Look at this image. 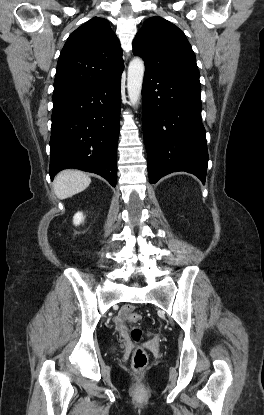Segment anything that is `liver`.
<instances>
[{"label": "liver", "instance_id": "liver-1", "mask_svg": "<svg viewBox=\"0 0 264 415\" xmlns=\"http://www.w3.org/2000/svg\"><path fill=\"white\" fill-rule=\"evenodd\" d=\"M90 183L91 178L86 173L75 169H67L56 175L53 187L59 199H66L82 192Z\"/></svg>", "mask_w": 264, "mask_h": 415}]
</instances>
